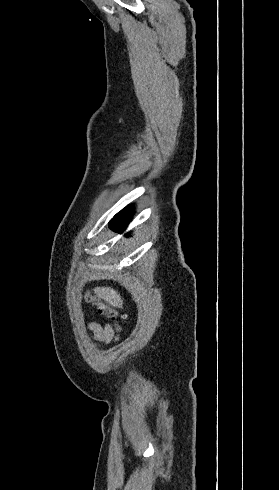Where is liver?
<instances>
[{
    "label": "liver",
    "instance_id": "1",
    "mask_svg": "<svg viewBox=\"0 0 279 490\" xmlns=\"http://www.w3.org/2000/svg\"><path fill=\"white\" fill-rule=\"evenodd\" d=\"M94 294H96L97 298H102L105 302H108L110 306H116V308H123V300L116 290L113 288H94Z\"/></svg>",
    "mask_w": 279,
    "mask_h": 490
}]
</instances>
